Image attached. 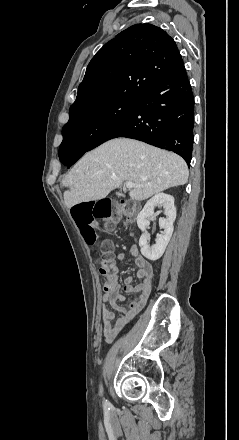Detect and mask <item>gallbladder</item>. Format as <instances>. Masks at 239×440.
Returning a JSON list of instances; mask_svg holds the SVG:
<instances>
[{
	"label": "gallbladder",
	"instance_id": "1",
	"mask_svg": "<svg viewBox=\"0 0 239 440\" xmlns=\"http://www.w3.org/2000/svg\"><path fill=\"white\" fill-rule=\"evenodd\" d=\"M115 193L118 195L120 192L117 190Z\"/></svg>",
	"mask_w": 239,
	"mask_h": 440
}]
</instances>
